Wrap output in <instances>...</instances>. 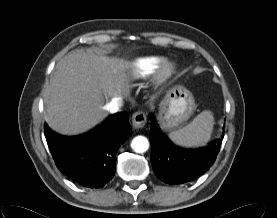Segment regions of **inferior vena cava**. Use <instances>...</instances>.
<instances>
[{"instance_id": "602c4592", "label": "inferior vena cava", "mask_w": 277, "mask_h": 218, "mask_svg": "<svg viewBox=\"0 0 277 218\" xmlns=\"http://www.w3.org/2000/svg\"><path fill=\"white\" fill-rule=\"evenodd\" d=\"M122 107H123V100L121 98H115L107 105V109L111 113L120 111Z\"/></svg>"}]
</instances>
